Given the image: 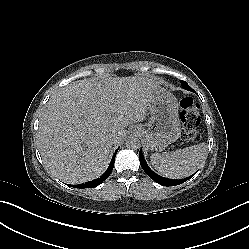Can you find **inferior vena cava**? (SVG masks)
Here are the masks:
<instances>
[{"mask_svg": "<svg viewBox=\"0 0 249 249\" xmlns=\"http://www.w3.org/2000/svg\"><path fill=\"white\" fill-rule=\"evenodd\" d=\"M112 140H113L114 142H116V141H117V137H114Z\"/></svg>", "mask_w": 249, "mask_h": 249, "instance_id": "inferior-vena-cava-1", "label": "inferior vena cava"}]
</instances>
